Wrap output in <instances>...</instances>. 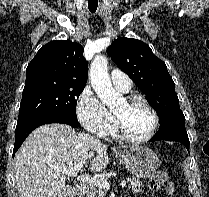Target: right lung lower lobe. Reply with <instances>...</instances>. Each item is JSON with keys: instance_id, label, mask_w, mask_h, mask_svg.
<instances>
[{"instance_id": "98d812e1", "label": "right lung lower lobe", "mask_w": 209, "mask_h": 197, "mask_svg": "<svg viewBox=\"0 0 209 197\" xmlns=\"http://www.w3.org/2000/svg\"><path fill=\"white\" fill-rule=\"evenodd\" d=\"M48 123H65L72 127H78L80 125L77 119L59 114H48L19 122L17 123L15 130L16 136L13 156L15 155L16 151L19 149L23 141L26 139V137L35 128Z\"/></svg>"}]
</instances>
